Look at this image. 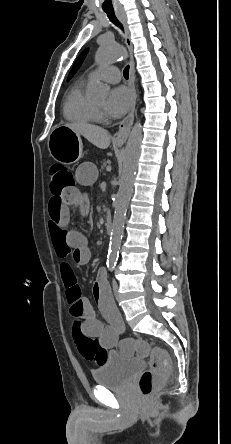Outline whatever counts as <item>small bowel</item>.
<instances>
[{
  "label": "small bowel",
  "mask_w": 231,
  "mask_h": 444,
  "mask_svg": "<svg viewBox=\"0 0 231 444\" xmlns=\"http://www.w3.org/2000/svg\"><path fill=\"white\" fill-rule=\"evenodd\" d=\"M75 179L81 186H90L97 179V169L94 164L84 162L75 172ZM70 207L76 208L81 214L88 211L86 195L76 187L67 189L58 199L50 198L49 233L56 254L61 259L60 273L66 289V298L70 305V314L81 320V330L89 337L98 340L106 349L113 348L119 341L123 328L120 315L113 301L104 271H100L93 286V295L99 308L108 313L109 320L104 323L97 318L95 309L88 299L80 294L76 277L68 258L75 265H86L91 258L87 238L79 231L69 227Z\"/></svg>",
  "instance_id": "small-bowel-1"
}]
</instances>
